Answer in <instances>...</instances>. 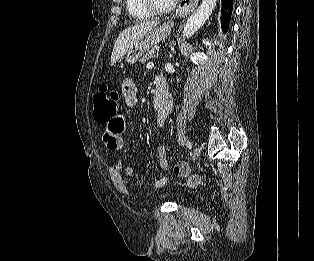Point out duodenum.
I'll return each instance as SVG.
<instances>
[{"label": "duodenum", "instance_id": "1", "mask_svg": "<svg viewBox=\"0 0 314 261\" xmlns=\"http://www.w3.org/2000/svg\"><path fill=\"white\" fill-rule=\"evenodd\" d=\"M172 105V99L164 79H156V91L153 97V106L158 115L168 112Z\"/></svg>", "mask_w": 314, "mask_h": 261}]
</instances>
